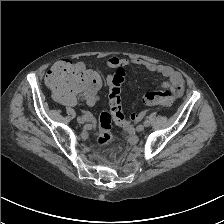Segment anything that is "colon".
<instances>
[{
	"instance_id": "5ec220e1",
	"label": "colon",
	"mask_w": 224,
	"mask_h": 224,
	"mask_svg": "<svg viewBox=\"0 0 224 224\" xmlns=\"http://www.w3.org/2000/svg\"><path fill=\"white\" fill-rule=\"evenodd\" d=\"M125 72L118 69L110 81L109 109L99 116L96 142L106 145L112 139V121L126 126L128 121L122 111L121 85ZM46 82L55 97L63 104L73 106L81 99L92 98L101 86L100 76L94 71L70 60L56 62L48 71ZM148 105L169 106L173 102L170 91H150L144 96Z\"/></svg>"
}]
</instances>
